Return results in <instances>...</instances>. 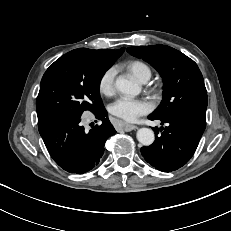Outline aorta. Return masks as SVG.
Segmentation results:
<instances>
[{
	"label": "aorta",
	"mask_w": 231,
	"mask_h": 231,
	"mask_svg": "<svg viewBox=\"0 0 231 231\" xmlns=\"http://www.w3.org/2000/svg\"><path fill=\"white\" fill-rule=\"evenodd\" d=\"M115 86L118 91L128 95H137L140 91L139 86L123 76H119L115 81ZM137 140L144 146L151 145L154 140V132L149 128H140L137 131Z\"/></svg>",
	"instance_id": "762f6f07"
}]
</instances>
